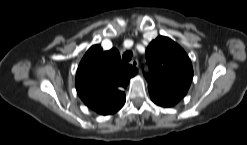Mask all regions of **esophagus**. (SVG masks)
<instances>
[{
  "instance_id": "34e87169",
  "label": "esophagus",
  "mask_w": 247,
  "mask_h": 145,
  "mask_svg": "<svg viewBox=\"0 0 247 145\" xmlns=\"http://www.w3.org/2000/svg\"><path fill=\"white\" fill-rule=\"evenodd\" d=\"M131 64H132L133 66H135V67H138L139 62H138L137 59H133V60L131 61Z\"/></svg>"
}]
</instances>
